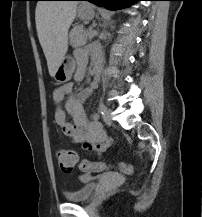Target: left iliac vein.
Instances as JSON below:
<instances>
[{
  "instance_id": "left-iliac-vein-1",
  "label": "left iliac vein",
  "mask_w": 202,
  "mask_h": 217,
  "mask_svg": "<svg viewBox=\"0 0 202 217\" xmlns=\"http://www.w3.org/2000/svg\"><path fill=\"white\" fill-rule=\"evenodd\" d=\"M103 120L107 125L112 124V112L110 109L106 110L105 114L103 115Z\"/></svg>"
}]
</instances>
